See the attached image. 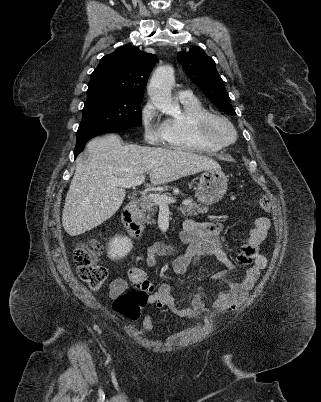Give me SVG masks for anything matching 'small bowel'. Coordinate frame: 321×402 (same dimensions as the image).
Instances as JSON below:
<instances>
[{"mask_svg":"<svg viewBox=\"0 0 321 402\" xmlns=\"http://www.w3.org/2000/svg\"><path fill=\"white\" fill-rule=\"evenodd\" d=\"M222 224L219 222L199 223L187 220L179 234L181 243L190 244L186 253L179 254L172 263L175 274L182 276L189 266L195 265L205 255H212L232 270L235 263L226 251L220 240ZM271 221L267 217H256L253 226L248 230L244 244L237 255V262L249 265L241 280H233L224 273L214 276L215 279L224 281L226 287L220 291L217 299L213 302L210 316L218 318L240 307L246 300L248 292L253 288L261 272L267 266V259L261 252V245L265 240ZM179 253V247L166 243H156L146 253V263L154 266L158 256H168ZM128 280L149 292L148 305L158 308H168L181 318H193L200 315L204 310V300L201 294H194L189 299V307L179 308L172 295L169 284H161L158 288L148 279L140 267H132L128 273ZM128 287V282L123 278H116L110 285V297L116 298ZM142 326L146 331L153 329L152 316L146 313L142 318Z\"/></svg>","mask_w":321,"mask_h":402,"instance_id":"small-bowel-1","label":"small bowel"}]
</instances>
